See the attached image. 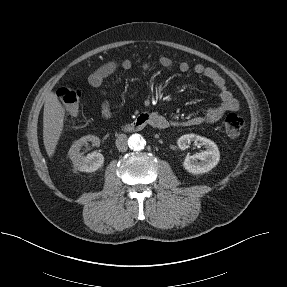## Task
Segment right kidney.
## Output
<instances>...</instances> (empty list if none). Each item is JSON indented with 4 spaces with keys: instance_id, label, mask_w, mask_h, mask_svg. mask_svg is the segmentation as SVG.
<instances>
[{
    "instance_id": "ca27d5eb",
    "label": "right kidney",
    "mask_w": 287,
    "mask_h": 287,
    "mask_svg": "<svg viewBox=\"0 0 287 287\" xmlns=\"http://www.w3.org/2000/svg\"><path fill=\"white\" fill-rule=\"evenodd\" d=\"M88 142H91L95 146L100 145V139L97 136L87 135L73 143L68 152V155L77 170L91 173L95 172L103 166L104 156L97 152H93L87 156L81 154V147Z\"/></svg>"
}]
</instances>
